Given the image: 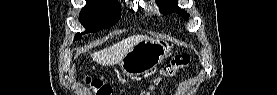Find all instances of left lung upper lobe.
Instances as JSON below:
<instances>
[{
    "instance_id": "1",
    "label": "left lung upper lobe",
    "mask_w": 277,
    "mask_h": 95,
    "mask_svg": "<svg viewBox=\"0 0 277 95\" xmlns=\"http://www.w3.org/2000/svg\"><path fill=\"white\" fill-rule=\"evenodd\" d=\"M157 2L162 14L176 12L184 19L189 18V14L178 6L177 0H157Z\"/></svg>"
}]
</instances>
